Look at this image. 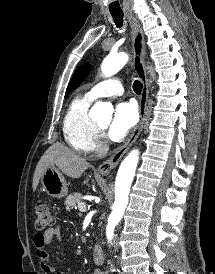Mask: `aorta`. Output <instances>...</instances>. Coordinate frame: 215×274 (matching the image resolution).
Listing matches in <instances>:
<instances>
[{"label": "aorta", "instance_id": "obj_1", "mask_svg": "<svg viewBox=\"0 0 215 274\" xmlns=\"http://www.w3.org/2000/svg\"><path fill=\"white\" fill-rule=\"evenodd\" d=\"M129 57L126 53L120 52L108 55L102 62L101 70L106 77L117 73L127 63ZM113 107L109 103L97 102L89 112L93 119L110 121ZM139 160L138 150H132L122 161L115 181V202L108 219V239L111 242L114 226L121 220L128 204L130 187L135 176Z\"/></svg>", "mask_w": 215, "mask_h": 274}]
</instances>
